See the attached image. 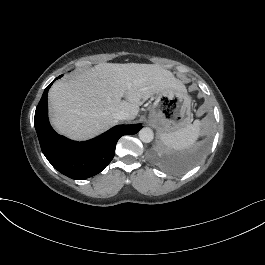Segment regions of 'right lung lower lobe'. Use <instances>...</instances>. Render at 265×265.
<instances>
[{
    "instance_id": "1",
    "label": "right lung lower lobe",
    "mask_w": 265,
    "mask_h": 265,
    "mask_svg": "<svg viewBox=\"0 0 265 265\" xmlns=\"http://www.w3.org/2000/svg\"><path fill=\"white\" fill-rule=\"evenodd\" d=\"M51 85L45 88L34 117L42 152L55 169L72 179L82 180L100 173L111 162L118 139L137 133L142 126L118 125L85 142L69 140L57 134L48 121L47 93Z\"/></svg>"
}]
</instances>
